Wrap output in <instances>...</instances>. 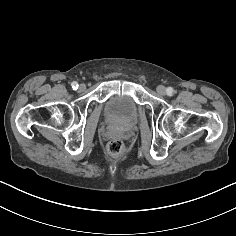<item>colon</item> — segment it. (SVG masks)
Segmentation results:
<instances>
[{
  "label": "colon",
  "instance_id": "1",
  "mask_svg": "<svg viewBox=\"0 0 236 236\" xmlns=\"http://www.w3.org/2000/svg\"><path fill=\"white\" fill-rule=\"evenodd\" d=\"M108 150L112 155H121L124 152V144L121 140L114 139L109 142Z\"/></svg>",
  "mask_w": 236,
  "mask_h": 236
}]
</instances>
